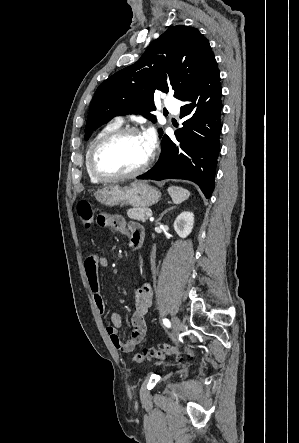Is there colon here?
Here are the masks:
<instances>
[{"mask_svg": "<svg viewBox=\"0 0 299 443\" xmlns=\"http://www.w3.org/2000/svg\"><path fill=\"white\" fill-rule=\"evenodd\" d=\"M77 212L80 219V225L83 229H90L93 227L96 219L94 210L88 201L82 200L77 205ZM192 356L193 351L189 347L179 348L170 344L162 345L158 348L145 349L141 352H137L134 355V361L136 363H143L152 358H165L166 356Z\"/></svg>", "mask_w": 299, "mask_h": 443, "instance_id": "colon-1", "label": "colon"}]
</instances>
